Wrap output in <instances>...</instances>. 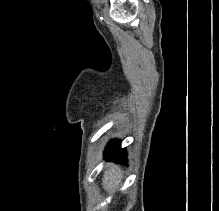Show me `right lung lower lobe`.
Masks as SVG:
<instances>
[{"label":"right lung lower lobe","mask_w":219,"mask_h":211,"mask_svg":"<svg viewBox=\"0 0 219 211\" xmlns=\"http://www.w3.org/2000/svg\"><path fill=\"white\" fill-rule=\"evenodd\" d=\"M107 161H113L127 165L126 150L120 147V142L112 141L104 152Z\"/></svg>","instance_id":"right-lung-lower-lobe-1"}]
</instances>
